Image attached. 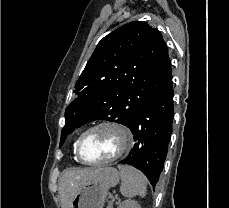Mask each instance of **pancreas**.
Masks as SVG:
<instances>
[{"instance_id": "obj_1", "label": "pancreas", "mask_w": 229, "mask_h": 208, "mask_svg": "<svg viewBox=\"0 0 229 208\" xmlns=\"http://www.w3.org/2000/svg\"><path fill=\"white\" fill-rule=\"evenodd\" d=\"M107 208H112V204H108Z\"/></svg>"}]
</instances>
